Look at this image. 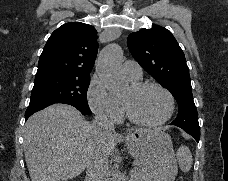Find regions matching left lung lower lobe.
Returning a JSON list of instances; mask_svg holds the SVG:
<instances>
[{
	"label": "left lung lower lobe",
	"mask_w": 228,
	"mask_h": 181,
	"mask_svg": "<svg viewBox=\"0 0 228 181\" xmlns=\"http://www.w3.org/2000/svg\"><path fill=\"white\" fill-rule=\"evenodd\" d=\"M185 131L192 135L197 142L200 139V128H186Z\"/></svg>",
	"instance_id": "left-lung-lower-lobe-1"
}]
</instances>
